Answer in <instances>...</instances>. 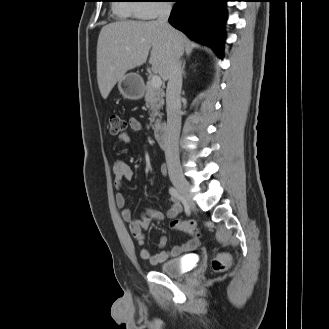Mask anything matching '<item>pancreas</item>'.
Wrapping results in <instances>:
<instances>
[{"label": "pancreas", "instance_id": "cf45deb5", "mask_svg": "<svg viewBox=\"0 0 329 329\" xmlns=\"http://www.w3.org/2000/svg\"><path fill=\"white\" fill-rule=\"evenodd\" d=\"M145 89V102L150 111L151 125L154 123V127H158L160 125L159 118L162 116L160 109L164 105V91L161 88L153 87L150 81H147Z\"/></svg>", "mask_w": 329, "mask_h": 329}]
</instances>
